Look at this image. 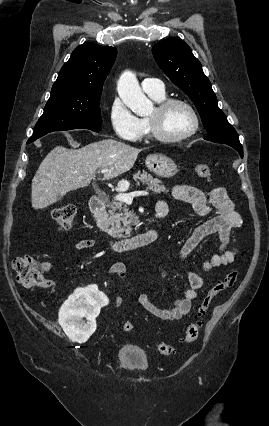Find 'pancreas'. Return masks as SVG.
<instances>
[{
  "label": "pancreas",
  "mask_w": 269,
  "mask_h": 426,
  "mask_svg": "<svg viewBox=\"0 0 269 426\" xmlns=\"http://www.w3.org/2000/svg\"><path fill=\"white\" fill-rule=\"evenodd\" d=\"M133 179L136 182H141L142 184L147 185V189L155 192H168L164 185H162L161 180L153 178L151 174L143 171L142 174L136 173L133 176ZM109 219L108 223L111 225L109 233L112 236L122 237V233L125 232L126 235H130L132 231V225L137 223L136 217L133 212L129 211L126 204L114 199L109 204Z\"/></svg>",
  "instance_id": "cf45deb5"
}]
</instances>
